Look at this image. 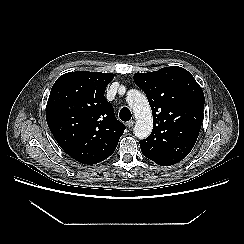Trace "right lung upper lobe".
Returning a JSON list of instances; mask_svg holds the SVG:
<instances>
[{
  "label": "right lung upper lobe",
  "instance_id": "cb5924a9",
  "mask_svg": "<svg viewBox=\"0 0 244 244\" xmlns=\"http://www.w3.org/2000/svg\"><path fill=\"white\" fill-rule=\"evenodd\" d=\"M113 78L112 73L69 72L51 89L48 126L60 147L82 164H96L112 155L125 130L104 97Z\"/></svg>",
  "mask_w": 244,
  "mask_h": 244
}]
</instances>
